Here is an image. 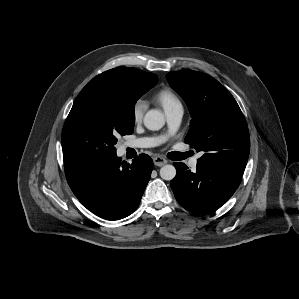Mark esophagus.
<instances>
[{
    "instance_id": "34e87169",
    "label": "esophagus",
    "mask_w": 299,
    "mask_h": 299,
    "mask_svg": "<svg viewBox=\"0 0 299 299\" xmlns=\"http://www.w3.org/2000/svg\"><path fill=\"white\" fill-rule=\"evenodd\" d=\"M153 162L156 166L161 167L167 163V160L161 156H156L153 158Z\"/></svg>"
}]
</instances>
